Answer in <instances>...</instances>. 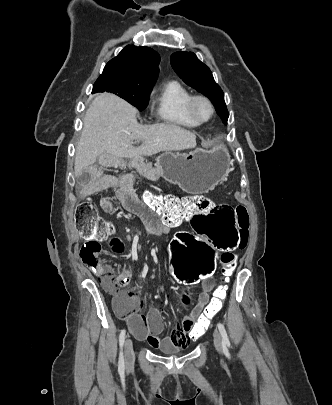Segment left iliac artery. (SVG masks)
Here are the masks:
<instances>
[{
	"instance_id": "44dca946",
	"label": "left iliac artery",
	"mask_w": 332,
	"mask_h": 405,
	"mask_svg": "<svg viewBox=\"0 0 332 405\" xmlns=\"http://www.w3.org/2000/svg\"><path fill=\"white\" fill-rule=\"evenodd\" d=\"M217 327H218L219 332H220L221 337H222V344H223V347L226 348L227 346L230 345V342H229V339H228V336H227V332H226V330H225V327H224V325L221 324V323H218V324H217Z\"/></svg>"
}]
</instances>
